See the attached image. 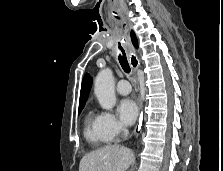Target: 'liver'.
<instances>
[{
  "label": "liver",
  "mask_w": 223,
  "mask_h": 171,
  "mask_svg": "<svg viewBox=\"0 0 223 171\" xmlns=\"http://www.w3.org/2000/svg\"><path fill=\"white\" fill-rule=\"evenodd\" d=\"M133 160L131 149L107 145L86 154L80 161L79 171H126Z\"/></svg>",
  "instance_id": "6515ba94"
}]
</instances>
